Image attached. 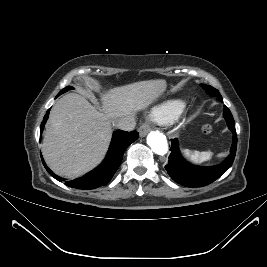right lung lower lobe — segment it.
<instances>
[{"label": "right lung lower lobe", "instance_id": "98d812e1", "mask_svg": "<svg viewBox=\"0 0 267 267\" xmlns=\"http://www.w3.org/2000/svg\"><path fill=\"white\" fill-rule=\"evenodd\" d=\"M58 94L57 96H59ZM50 109L46 112L44 116V120L41 124L40 133H42L44 124L48 118ZM139 136V133L136 131L125 132L121 130H117L113 134V138L107 153V156L103 163L95 168L93 171L89 172L85 176L65 181V179L60 178L55 175L45 164L44 160L42 162L46 168V170L58 181H65V184L69 187L77 188V189H94L102 185H106L113 177L117 169L119 168L123 153L127 146H129L132 142H134Z\"/></svg>", "mask_w": 267, "mask_h": 267}]
</instances>
